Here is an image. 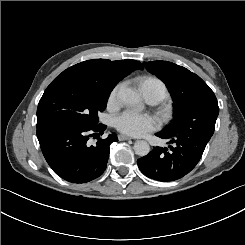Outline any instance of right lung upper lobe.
I'll list each match as a JSON object with an SVG mask.
<instances>
[{"label":"right lung upper lobe","mask_w":245,"mask_h":245,"mask_svg":"<svg viewBox=\"0 0 245 245\" xmlns=\"http://www.w3.org/2000/svg\"><path fill=\"white\" fill-rule=\"evenodd\" d=\"M137 69H143V66L136 60L93 59L71 66L63 72L83 75L114 88L120 80Z\"/></svg>","instance_id":"right-lung-upper-lobe-1"}]
</instances>
